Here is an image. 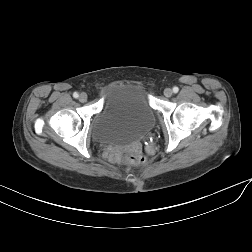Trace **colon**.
Here are the masks:
<instances>
[{
    "mask_svg": "<svg viewBox=\"0 0 252 252\" xmlns=\"http://www.w3.org/2000/svg\"><path fill=\"white\" fill-rule=\"evenodd\" d=\"M126 161L129 164L138 166V165L144 164L146 159L142 154L134 153V154H131V155L127 156Z\"/></svg>",
    "mask_w": 252,
    "mask_h": 252,
    "instance_id": "5ec220e1",
    "label": "colon"
}]
</instances>
